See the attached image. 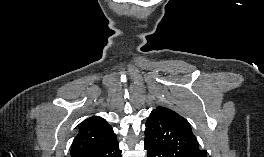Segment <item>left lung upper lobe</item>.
I'll return each mask as SVG.
<instances>
[{
	"label": "left lung upper lobe",
	"mask_w": 264,
	"mask_h": 157,
	"mask_svg": "<svg viewBox=\"0 0 264 157\" xmlns=\"http://www.w3.org/2000/svg\"><path fill=\"white\" fill-rule=\"evenodd\" d=\"M145 143L162 152V157H207L188 121L166 107H157L146 121Z\"/></svg>",
	"instance_id": "obj_1"
}]
</instances>
